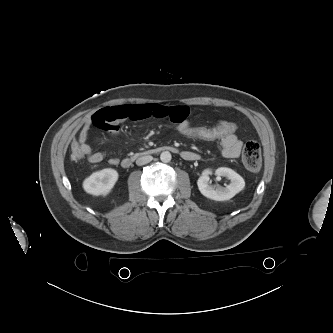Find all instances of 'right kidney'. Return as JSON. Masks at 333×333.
<instances>
[{"label": "right kidney", "mask_w": 333, "mask_h": 333, "mask_svg": "<svg viewBox=\"0 0 333 333\" xmlns=\"http://www.w3.org/2000/svg\"><path fill=\"white\" fill-rule=\"evenodd\" d=\"M118 172L112 168H105L92 173L83 181L84 190L92 195L108 194L118 180Z\"/></svg>", "instance_id": "ca27d5eb"}]
</instances>
